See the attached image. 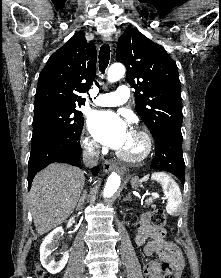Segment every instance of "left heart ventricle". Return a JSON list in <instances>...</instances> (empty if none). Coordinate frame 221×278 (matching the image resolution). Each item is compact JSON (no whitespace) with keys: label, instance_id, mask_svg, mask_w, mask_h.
Returning a JSON list of instances; mask_svg holds the SVG:
<instances>
[{"label":"left heart ventricle","instance_id":"left-heart-ventricle-1","mask_svg":"<svg viewBox=\"0 0 221 278\" xmlns=\"http://www.w3.org/2000/svg\"><path fill=\"white\" fill-rule=\"evenodd\" d=\"M142 150H143L142 139L139 136L131 133L129 135V139L125 144V146H123L120 149V151L130 156H137L142 152Z\"/></svg>","mask_w":221,"mask_h":278}]
</instances>
